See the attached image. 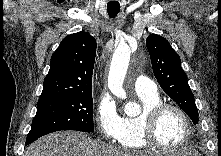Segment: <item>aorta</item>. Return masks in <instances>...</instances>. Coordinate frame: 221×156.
Segmentation results:
<instances>
[{
	"label": "aorta",
	"mask_w": 221,
	"mask_h": 156,
	"mask_svg": "<svg viewBox=\"0 0 221 156\" xmlns=\"http://www.w3.org/2000/svg\"><path fill=\"white\" fill-rule=\"evenodd\" d=\"M131 50L125 41H121L112 57L110 71L108 75V88L113 95L120 99H126V92L123 89V82L130 60ZM128 116L140 114V106L134 102H128L124 108Z\"/></svg>",
	"instance_id": "762f6f07"
}]
</instances>
